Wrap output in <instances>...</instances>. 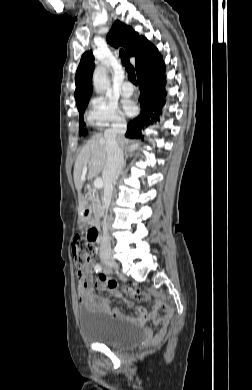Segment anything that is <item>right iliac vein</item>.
<instances>
[{
    "instance_id": "right-iliac-vein-1",
    "label": "right iliac vein",
    "mask_w": 252,
    "mask_h": 390,
    "mask_svg": "<svg viewBox=\"0 0 252 390\" xmlns=\"http://www.w3.org/2000/svg\"><path fill=\"white\" fill-rule=\"evenodd\" d=\"M101 259L103 263L106 264L110 269H118V264L112 257L102 256Z\"/></svg>"
}]
</instances>
